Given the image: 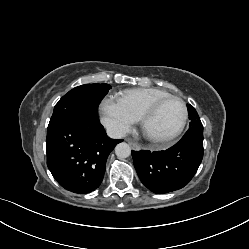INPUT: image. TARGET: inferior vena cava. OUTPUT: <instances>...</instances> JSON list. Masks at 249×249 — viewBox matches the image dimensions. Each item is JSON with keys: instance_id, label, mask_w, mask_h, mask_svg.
Listing matches in <instances>:
<instances>
[{"instance_id": "1", "label": "inferior vena cava", "mask_w": 249, "mask_h": 249, "mask_svg": "<svg viewBox=\"0 0 249 249\" xmlns=\"http://www.w3.org/2000/svg\"><path fill=\"white\" fill-rule=\"evenodd\" d=\"M106 132H107V135L113 139H120L126 135L125 130L116 125L108 126L106 128Z\"/></svg>"}]
</instances>
